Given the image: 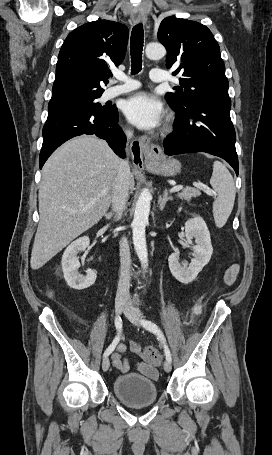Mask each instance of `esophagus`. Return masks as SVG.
<instances>
[{
    "label": "esophagus",
    "instance_id": "1",
    "mask_svg": "<svg viewBox=\"0 0 272 455\" xmlns=\"http://www.w3.org/2000/svg\"><path fill=\"white\" fill-rule=\"evenodd\" d=\"M133 20L135 23L142 22L146 24L147 16L145 11L142 8H136L133 13ZM132 151L133 164L138 169H142L145 165L157 160L162 154L161 147L151 143L147 136L139 137L138 141L134 142Z\"/></svg>",
    "mask_w": 272,
    "mask_h": 455
}]
</instances>
